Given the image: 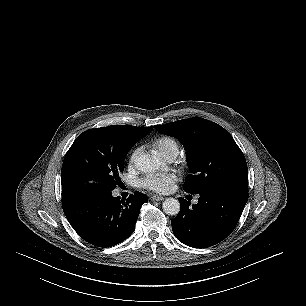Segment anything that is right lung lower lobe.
<instances>
[{
    "mask_svg": "<svg viewBox=\"0 0 306 306\" xmlns=\"http://www.w3.org/2000/svg\"><path fill=\"white\" fill-rule=\"evenodd\" d=\"M146 202L148 198L141 192L131 194L126 201L110 192L63 205V211L78 235L94 246L105 248L133 233L141 206Z\"/></svg>",
    "mask_w": 306,
    "mask_h": 306,
    "instance_id": "98d812e1",
    "label": "right lung lower lobe"
}]
</instances>
